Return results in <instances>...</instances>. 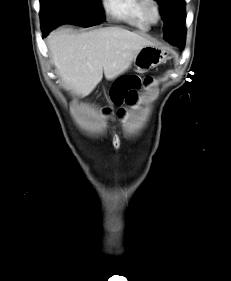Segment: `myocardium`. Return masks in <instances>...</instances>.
Returning <instances> with one entry per match:
<instances>
[{
    "mask_svg": "<svg viewBox=\"0 0 231 281\" xmlns=\"http://www.w3.org/2000/svg\"><path fill=\"white\" fill-rule=\"evenodd\" d=\"M141 8L148 23L156 24L161 20V8L156 0H141Z\"/></svg>",
    "mask_w": 231,
    "mask_h": 281,
    "instance_id": "obj_1",
    "label": "myocardium"
}]
</instances>
